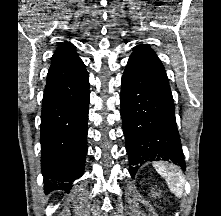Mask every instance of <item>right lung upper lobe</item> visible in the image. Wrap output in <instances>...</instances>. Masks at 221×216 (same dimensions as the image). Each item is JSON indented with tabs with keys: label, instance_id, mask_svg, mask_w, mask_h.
Here are the masks:
<instances>
[{
	"label": "right lung upper lobe",
	"instance_id": "right-lung-upper-lobe-1",
	"mask_svg": "<svg viewBox=\"0 0 221 216\" xmlns=\"http://www.w3.org/2000/svg\"><path fill=\"white\" fill-rule=\"evenodd\" d=\"M51 60L46 88L85 70V65L76 52V47L70 42L60 43Z\"/></svg>",
	"mask_w": 221,
	"mask_h": 216
}]
</instances>
